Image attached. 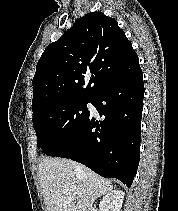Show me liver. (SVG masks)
<instances>
[{
  "instance_id": "liver-1",
  "label": "liver",
  "mask_w": 178,
  "mask_h": 211,
  "mask_svg": "<svg viewBox=\"0 0 178 211\" xmlns=\"http://www.w3.org/2000/svg\"><path fill=\"white\" fill-rule=\"evenodd\" d=\"M38 176L47 211H91L95 200L113 189L109 180L67 159L42 160Z\"/></svg>"
}]
</instances>
